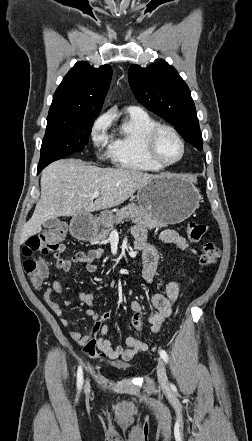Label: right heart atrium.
I'll use <instances>...</instances> for the list:
<instances>
[{"instance_id":"obj_1","label":"right heart atrium","mask_w":252,"mask_h":441,"mask_svg":"<svg viewBox=\"0 0 252 441\" xmlns=\"http://www.w3.org/2000/svg\"><path fill=\"white\" fill-rule=\"evenodd\" d=\"M109 124L110 118L104 114L98 117L91 127L90 139L92 145L101 156H103L101 153L103 150H106L104 156H110L111 153V138L108 134Z\"/></svg>"}]
</instances>
